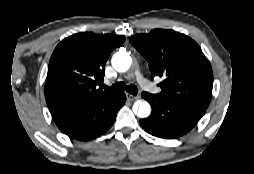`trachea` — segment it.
<instances>
[{"mask_svg": "<svg viewBox=\"0 0 254 174\" xmlns=\"http://www.w3.org/2000/svg\"><path fill=\"white\" fill-rule=\"evenodd\" d=\"M104 87L110 90L111 92H119V91L126 90L127 92L133 95H137L138 93L137 86L132 84L126 85L124 82H118L116 84H113L111 87H107V86H104Z\"/></svg>", "mask_w": 254, "mask_h": 174, "instance_id": "obj_1", "label": "trachea"}]
</instances>
